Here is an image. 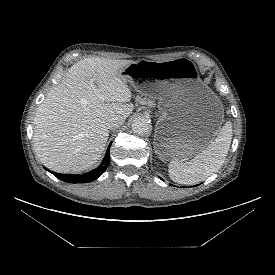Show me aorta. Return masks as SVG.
Here are the masks:
<instances>
[{
  "instance_id": "1",
  "label": "aorta",
  "mask_w": 275,
  "mask_h": 275,
  "mask_svg": "<svg viewBox=\"0 0 275 275\" xmlns=\"http://www.w3.org/2000/svg\"><path fill=\"white\" fill-rule=\"evenodd\" d=\"M150 122L144 117L135 118L132 123V130L137 135H145L150 131Z\"/></svg>"
}]
</instances>
